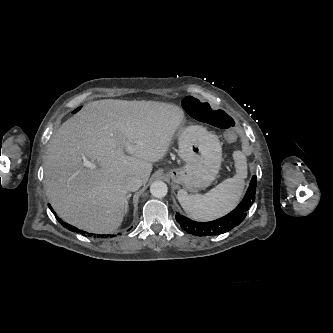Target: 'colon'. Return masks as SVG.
<instances>
[{"label":"colon","mask_w":333,"mask_h":333,"mask_svg":"<svg viewBox=\"0 0 333 333\" xmlns=\"http://www.w3.org/2000/svg\"><path fill=\"white\" fill-rule=\"evenodd\" d=\"M182 104L188 114L200 122L223 130H232L234 126L233 119L225 111L215 109L210 103L195 96L185 97Z\"/></svg>","instance_id":"1"}]
</instances>
